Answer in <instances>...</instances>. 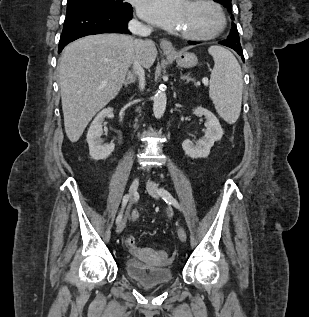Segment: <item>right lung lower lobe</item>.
I'll list each match as a JSON object with an SVG mask.
<instances>
[{"instance_id":"1","label":"right lung lower lobe","mask_w":309,"mask_h":317,"mask_svg":"<svg viewBox=\"0 0 309 317\" xmlns=\"http://www.w3.org/2000/svg\"><path fill=\"white\" fill-rule=\"evenodd\" d=\"M132 11H118L89 6H67L58 53L70 42L91 34L130 33L127 23Z\"/></svg>"}]
</instances>
